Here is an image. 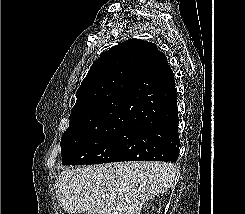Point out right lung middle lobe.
<instances>
[{
  "instance_id": "right-lung-middle-lobe-1",
  "label": "right lung middle lobe",
  "mask_w": 245,
  "mask_h": 214,
  "mask_svg": "<svg viewBox=\"0 0 245 214\" xmlns=\"http://www.w3.org/2000/svg\"><path fill=\"white\" fill-rule=\"evenodd\" d=\"M127 124L95 130H66L61 138L63 165L116 162L118 149L128 132Z\"/></svg>"
}]
</instances>
